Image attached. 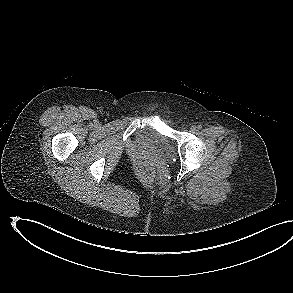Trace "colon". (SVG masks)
Masks as SVG:
<instances>
[{"label":"colon","mask_w":293,"mask_h":293,"mask_svg":"<svg viewBox=\"0 0 293 293\" xmlns=\"http://www.w3.org/2000/svg\"><path fill=\"white\" fill-rule=\"evenodd\" d=\"M143 175H144L145 179L150 180L154 176V171H153V169L151 167H146L143 170Z\"/></svg>","instance_id":"1"}]
</instances>
